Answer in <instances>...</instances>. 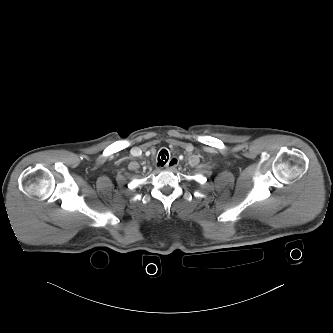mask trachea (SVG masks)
<instances>
[{"mask_svg":"<svg viewBox=\"0 0 333 333\" xmlns=\"http://www.w3.org/2000/svg\"><path fill=\"white\" fill-rule=\"evenodd\" d=\"M168 154H169L168 151L165 149H162L160 151L159 156H158V163H157L158 166H164L166 164V162L168 161V158H169Z\"/></svg>","mask_w":333,"mask_h":333,"instance_id":"1","label":"trachea"}]
</instances>
